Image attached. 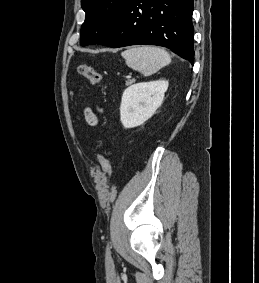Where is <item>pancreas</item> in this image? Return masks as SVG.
<instances>
[{
  "label": "pancreas",
  "mask_w": 259,
  "mask_h": 283,
  "mask_svg": "<svg viewBox=\"0 0 259 283\" xmlns=\"http://www.w3.org/2000/svg\"><path fill=\"white\" fill-rule=\"evenodd\" d=\"M134 82H135L134 79H128L125 84L128 86V85H131Z\"/></svg>",
  "instance_id": "pancreas-1"
}]
</instances>
